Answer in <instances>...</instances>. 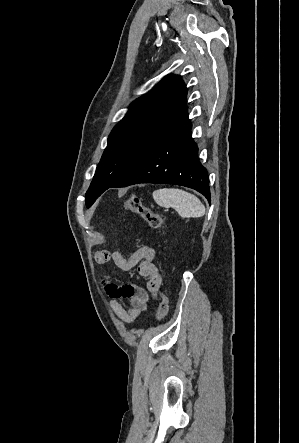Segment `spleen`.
Masks as SVG:
<instances>
[{
	"mask_svg": "<svg viewBox=\"0 0 299 443\" xmlns=\"http://www.w3.org/2000/svg\"><path fill=\"white\" fill-rule=\"evenodd\" d=\"M155 202L165 208H174L183 218H199L205 214V206L194 194L176 188H163L153 192Z\"/></svg>",
	"mask_w": 299,
	"mask_h": 443,
	"instance_id": "1",
	"label": "spleen"
}]
</instances>
